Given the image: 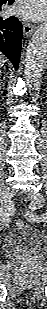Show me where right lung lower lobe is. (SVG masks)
Segmentation results:
<instances>
[{
	"label": "right lung lower lobe",
	"instance_id": "98d812e1",
	"mask_svg": "<svg viewBox=\"0 0 47 309\" xmlns=\"http://www.w3.org/2000/svg\"><path fill=\"white\" fill-rule=\"evenodd\" d=\"M7 1L9 5L14 2V0ZM7 1L0 0V5ZM22 35V25L17 18L0 16V51L12 62L15 70L19 66Z\"/></svg>",
	"mask_w": 47,
	"mask_h": 309
}]
</instances>
